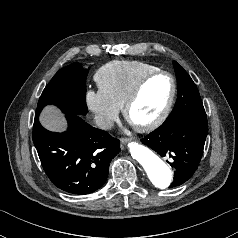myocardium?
<instances>
[{
  "instance_id": "1",
  "label": "myocardium",
  "mask_w": 238,
  "mask_h": 238,
  "mask_svg": "<svg viewBox=\"0 0 238 238\" xmlns=\"http://www.w3.org/2000/svg\"><path fill=\"white\" fill-rule=\"evenodd\" d=\"M157 76H166L170 80L171 91H170V96L168 98V101H167L165 107L163 108L161 113L151 122L144 124V125L132 124L129 119V113H130L132 106L136 103V101L140 97L145 85L151 79H153ZM176 91H177L176 82H175V79L171 73L164 71V70H157L152 73H149L139 80V82L135 85V87L129 94L128 98L126 99V101L122 107L123 116L133 126V128L136 131L141 132V133L150 132V131L156 129L157 127H159L165 121V119L168 117V115L172 109V106L174 104V101H175Z\"/></svg>"
}]
</instances>
